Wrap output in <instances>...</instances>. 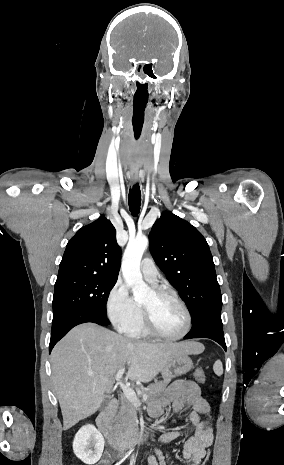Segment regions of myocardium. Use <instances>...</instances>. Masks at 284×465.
I'll list each match as a JSON object with an SVG mask.
<instances>
[{"label": "myocardium", "instance_id": "obj_1", "mask_svg": "<svg viewBox=\"0 0 284 465\" xmlns=\"http://www.w3.org/2000/svg\"><path fill=\"white\" fill-rule=\"evenodd\" d=\"M154 293H155L156 297H158V298H165V299L171 300L174 303H176L182 309V311H183V313L185 315L186 325H185V328H184L183 332L178 336L165 337V336L159 335L158 333H156V331L153 328V325H152L153 317H152L151 312L149 310H147V309L141 308L143 321H141L140 324H141L144 332L148 336H150L151 338H153V339H155L157 341H161V342H177V341H180V340L184 339L188 335V333H189V331L191 329V326H192V316H191V313H190L188 307L185 305V303L178 296L174 295L173 293H171L168 290L156 289L154 291Z\"/></svg>", "mask_w": 284, "mask_h": 465}]
</instances>
